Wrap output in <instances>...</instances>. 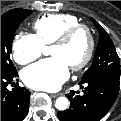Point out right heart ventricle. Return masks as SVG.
Instances as JSON below:
<instances>
[{"instance_id": "right-heart-ventricle-1", "label": "right heart ventricle", "mask_w": 121, "mask_h": 121, "mask_svg": "<svg viewBox=\"0 0 121 121\" xmlns=\"http://www.w3.org/2000/svg\"><path fill=\"white\" fill-rule=\"evenodd\" d=\"M80 20L71 14H47L33 23L35 36L45 46L52 44L64 31L80 24Z\"/></svg>"}]
</instances>
